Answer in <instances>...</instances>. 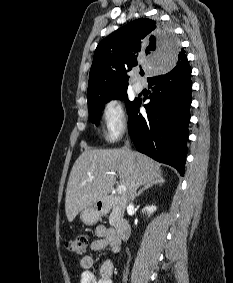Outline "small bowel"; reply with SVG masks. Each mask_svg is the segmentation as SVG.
I'll use <instances>...</instances> for the list:
<instances>
[{
	"mask_svg": "<svg viewBox=\"0 0 233 283\" xmlns=\"http://www.w3.org/2000/svg\"><path fill=\"white\" fill-rule=\"evenodd\" d=\"M96 239L90 243V249L100 251L110 247L113 251L119 249L114 234V230L106 226H98L95 230ZM94 258L91 255H85L80 260V266L83 272L80 277V283H113V262L110 259L105 260L100 267V277L97 278L92 270Z\"/></svg>",
	"mask_w": 233,
	"mask_h": 283,
	"instance_id": "obj_1",
	"label": "small bowel"
}]
</instances>
